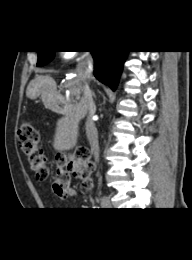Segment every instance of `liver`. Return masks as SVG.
<instances>
[{
	"label": "liver",
	"mask_w": 192,
	"mask_h": 260,
	"mask_svg": "<svg viewBox=\"0 0 192 260\" xmlns=\"http://www.w3.org/2000/svg\"><path fill=\"white\" fill-rule=\"evenodd\" d=\"M70 92L76 95L83 93V85L76 74L74 78H70L65 85ZM27 97L31 99L42 95L43 99H56L59 94L56 89L54 79L48 75H36L27 88ZM88 110L84 98L79 101L73 111V118L68 116L61 117L57 122L54 135L53 147L55 150L62 152L72 149L77 143L79 122L87 114Z\"/></svg>",
	"instance_id": "obj_1"
}]
</instances>
